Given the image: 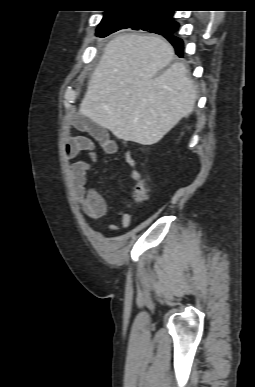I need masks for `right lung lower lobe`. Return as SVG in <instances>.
I'll return each instance as SVG.
<instances>
[{"instance_id": "obj_1", "label": "right lung lower lobe", "mask_w": 255, "mask_h": 387, "mask_svg": "<svg viewBox=\"0 0 255 387\" xmlns=\"http://www.w3.org/2000/svg\"><path fill=\"white\" fill-rule=\"evenodd\" d=\"M173 32L174 31H171V32L165 31L162 33V35L164 37H166L171 42V44L174 46V48L176 50V54L180 57H183V41L180 38L173 36L172 35Z\"/></svg>"}]
</instances>
